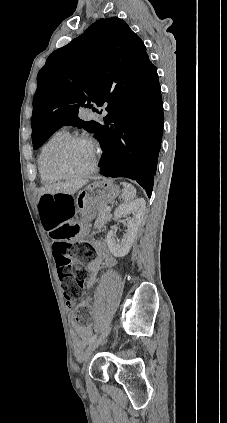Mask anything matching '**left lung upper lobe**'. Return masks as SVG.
Wrapping results in <instances>:
<instances>
[{
  "mask_svg": "<svg viewBox=\"0 0 227 423\" xmlns=\"http://www.w3.org/2000/svg\"><path fill=\"white\" fill-rule=\"evenodd\" d=\"M154 70L143 41L122 19L94 22L50 54L39 71L32 114L34 149L63 125L84 128L98 138L101 124L80 120L79 107L94 103L107 106V112L129 109Z\"/></svg>",
  "mask_w": 227,
  "mask_h": 423,
  "instance_id": "left-lung-upper-lobe-1",
  "label": "left lung upper lobe"
}]
</instances>
